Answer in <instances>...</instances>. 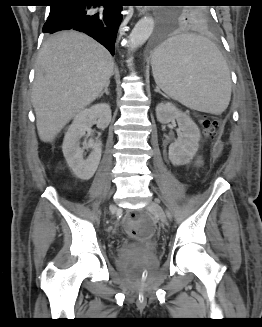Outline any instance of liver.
<instances>
[{
    "label": "liver",
    "instance_id": "liver-1",
    "mask_svg": "<svg viewBox=\"0 0 262 327\" xmlns=\"http://www.w3.org/2000/svg\"><path fill=\"white\" fill-rule=\"evenodd\" d=\"M114 60L107 49L76 31L54 34L36 62L32 104L40 139L51 142L110 83Z\"/></svg>",
    "mask_w": 262,
    "mask_h": 327
}]
</instances>
